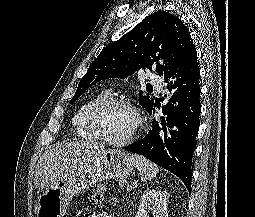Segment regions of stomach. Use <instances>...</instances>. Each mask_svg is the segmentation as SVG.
Wrapping results in <instances>:
<instances>
[{"instance_id":"obj_1","label":"stomach","mask_w":255,"mask_h":217,"mask_svg":"<svg viewBox=\"0 0 255 217\" xmlns=\"http://www.w3.org/2000/svg\"><path fill=\"white\" fill-rule=\"evenodd\" d=\"M131 156L119 149H109L86 162L78 171L44 188L37 197V217H64L72 197L108 179L124 180L133 171Z\"/></svg>"}]
</instances>
